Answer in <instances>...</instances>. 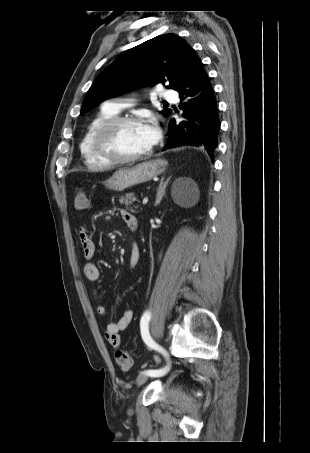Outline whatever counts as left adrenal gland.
<instances>
[{"mask_svg":"<svg viewBox=\"0 0 310 453\" xmlns=\"http://www.w3.org/2000/svg\"><path fill=\"white\" fill-rule=\"evenodd\" d=\"M165 179V176H162L161 180H160V184L157 188V195H156V201H155V206L159 205L163 196L165 195V189H166V186L170 180V178H168L166 181H164Z\"/></svg>","mask_w":310,"mask_h":453,"instance_id":"1","label":"left adrenal gland"}]
</instances>
